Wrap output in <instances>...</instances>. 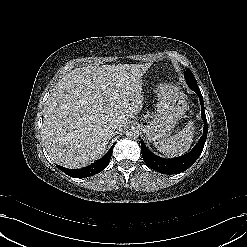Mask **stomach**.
Returning <instances> with one entry per match:
<instances>
[{"instance_id":"obj_1","label":"stomach","mask_w":247,"mask_h":247,"mask_svg":"<svg viewBox=\"0 0 247 247\" xmlns=\"http://www.w3.org/2000/svg\"><path fill=\"white\" fill-rule=\"evenodd\" d=\"M159 102L155 117L143 124L146 139L150 142L165 140L187 109L185 94L176 86L160 84L157 87Z\"/></svg>"}]
</instances>
